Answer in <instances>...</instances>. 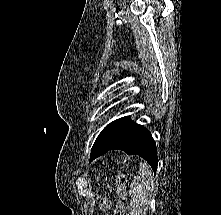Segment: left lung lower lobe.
<instances>
[{
	"label": "left lung lower lobe",
	"instance_id": "0a47b994",
	"mask_svg": "<svg viewBox=\"0 0 221 215\" xmlns=\"http://www.w3.org/2000/svg\"><path fill=\"white\" fill-rule=\"evenodd\" d=\"M111 149L123 150L129 155L137 154L157 169L158 157L155 142L150 132L128 116L114 121L97 137L90 155L93 160Z\"/></svg>",
	"mask_w": 221,
	"mask_h": 215
}]
</instances>
